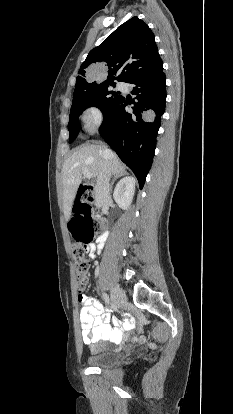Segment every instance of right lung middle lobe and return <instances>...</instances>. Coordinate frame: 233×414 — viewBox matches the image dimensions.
Returning a JSON list of instances; mask_svg holds the SVG:
<instances>
[{
  "label": "right lung middle lobe",
  "instance_id": "1",
  "mask_svg": "<svg viewBox=\"0 0 233 414\" xmlns=\"http://www.w3.org/2000/svg\"><path fill=\"white\" fill-rule=\"evenodd\" d=\"M112 86L115 87L114 82L102 83L73 96L68 124L69 143L73 142L79 134L78 117L86 108L95 106L105 113L121 98L119 92L111 90Z\"/></svg>",
  "mask_w": 233,
  "mask_h": 414
}]
</instances>
